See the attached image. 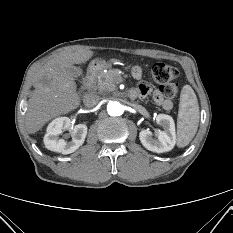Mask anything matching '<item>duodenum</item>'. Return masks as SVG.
Returning a JSON list of instances; mask_svg holds the SVG:
<instances>
[{
    "instance_id": "1",
    "label": "duodenum",
    "mask_w": 233,
    "mask_h": 233,
    "mask_svg": "<svg viewBox=\"0 0 233 233\" xmlns=\"http://www.w3.org/2000/svg\"><path fill=\"white\" fill-rule=\"evenodd\" d=\"M99 70H100L99 65H96V64L92 65L89 68V70L87 72V75L85 77V81H84V88H85V90H89L93 86L95 78H96ZM130 96L132 98H135V92L134 91L131 92Z\"/></svg>"
}]
</instances>
